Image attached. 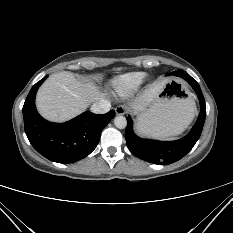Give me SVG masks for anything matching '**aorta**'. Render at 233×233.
<instances>
[{"label":"aorta","mask_w":233,"mask_h":233,"mask_svg":"<svg viewBox=\"0 0 233 233\" xmlns=\"http://www.w3.org/2000/svg\"><path fill=\"white\" fill-rule=\"evenodd\" d=\"M114 125L119 129H124L127 126V120L124 116H116L114 119Z\"/></svg>","instance_id":"aorta-1"}]
</instances>
